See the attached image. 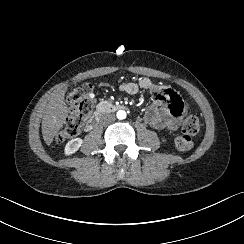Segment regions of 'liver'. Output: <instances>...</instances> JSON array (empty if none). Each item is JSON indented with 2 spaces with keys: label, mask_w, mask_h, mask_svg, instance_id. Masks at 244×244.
Segmentation results:
<instances>
[{
  "label": "liver",
  "mask_w": 244,
  "mask_h": 244,
  "mask_svg": "<svg viewBox=\"0 0 244 244\" xmlns=\"http://www.w3.org/2000/svg\"><path fill=\"white\" fill-rule=\"evenodd\" d=\"M65 93L66 89L52 96L43 117L42 134L47 145L53 142L70 113L69 107L65 102Z\"/></svg>",
  "instance_id": "6515ba94"
}]
</instances>
